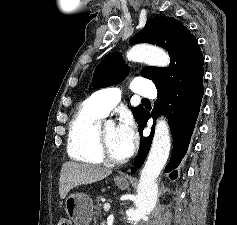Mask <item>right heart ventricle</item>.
<instances>
[{"mask_svg":"<svg viewBox=\"0 0 237 225\" xmlns=\"http://www.w3.org/2000/svg\"><path fill=\"white\" fill-rule=\"evenodd\" d=\"M104 116L91 98L80 105L69 125L67 151L73 160L87 164L103 162L96 131Z\"/></svg>","mask_w":237,"mask_h":225,"instance_id":"e07e8e85","label":"right heart ventricle"}]
</instances>
